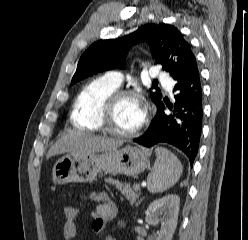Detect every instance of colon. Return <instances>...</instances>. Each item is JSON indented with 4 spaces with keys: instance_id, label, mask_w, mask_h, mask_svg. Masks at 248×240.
<instances>
[{
    "instance_id": "colon-1",
    "label": "colon",
    "mask_w": 248,
    "mask_h": 240,
    "mask_svg": "<svg viewBox=\"0 0 248 240\" xmlns=\"http://www.w3.org/2000/svg\"><path fill=\"white\" fill-rule=\"evenodd\" d=\"M79 209L76 205H66L63 208V215L65 220H71L76 218L78 215Z\"/></svg>"
}]
</instances>
